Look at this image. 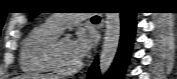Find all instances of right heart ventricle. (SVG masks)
Listing matches in <instances>:
<instances>
[{
    "label": "right heart ventricle",
    "instance_id": "1",
    "mask_svg": "<svg viewBox=\"0 0 177 79\" xmlns=\"http://www.w3.org/2000/svg\"><path fill=\"white\" fill-rule=\"evenodd\" d=\"M60 32L47 21L33 28L21 49L20 66L24 72L34 75L54 72L48 62V51Z\"/></svg>",
    "mask_w": 177,
    "mask_h": 79
}]
</instances>
